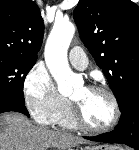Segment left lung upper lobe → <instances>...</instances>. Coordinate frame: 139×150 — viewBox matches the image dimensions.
<instances>
[{"instance_id": "5c2ea615", "label": "left lung upper lobe", "mask_w": 139, "mask_h": 150, "mask_svg": "<svg viewBox=\"0 0 139 150\" xmlns=\"http://www.w3.org/2000/svg\"><path fill=\"white\" fill-rule=\"evenodd\" d=\"M73 17L121 108L139 89V6L131 0H80Z\"/></svg>"}]
</instances>
